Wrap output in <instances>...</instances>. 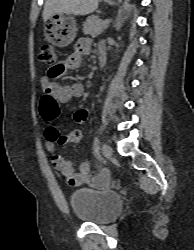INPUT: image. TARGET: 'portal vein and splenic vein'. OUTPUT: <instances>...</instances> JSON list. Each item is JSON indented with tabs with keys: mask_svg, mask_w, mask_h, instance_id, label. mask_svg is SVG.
<instances>
[{
	"mask_svg": "<svg viewBox=\"0 0 194 250\" xmlns=\"http://www.w3.org/2000/svg\"><path fill=\"white\" fill-rule=\"evenodd\" d=\"M110 21H111L110 19H107V20L104 21V24H109Z\"/></svg>",
	"mask_w": 194,
	"mask_h": 250,
	"instance_id": "18ae733b",
	"label": "portal vein and splenic vein"
}]
</instances>
